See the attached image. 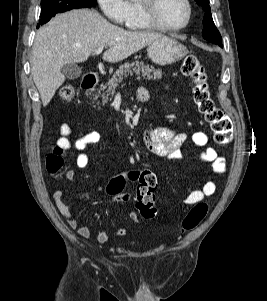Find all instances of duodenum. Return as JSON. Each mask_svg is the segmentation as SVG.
<instances>
[{"label":"duodenum","mask_w":267,"mask_h":301,"mask_svg":"<svg viewBox=\"0 0 267 301\" xmlns=\"http://www.w3.org/2000/svg\"><path fill=\"white\" fill-rule=\"evenodd\" d=\"M97 81H98V79L96 76L88 75L83 79V81L81 83V87L83 90L91 91L95 88ZM137 97H138L139 101L145 102L148 99V94L141 93V94L137 95Z\"/></svg>","instance_id":"obj_1"}]
</instances>
